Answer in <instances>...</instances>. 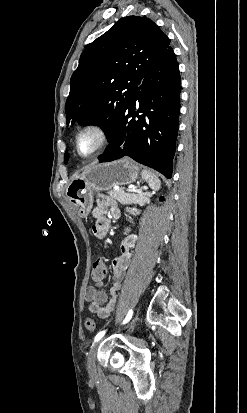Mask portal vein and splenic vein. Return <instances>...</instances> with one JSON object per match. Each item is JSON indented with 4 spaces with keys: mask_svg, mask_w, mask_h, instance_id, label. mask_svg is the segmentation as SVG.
<instances>
[{
    "mask_svg": "<svg viewBox=\"0 0 247 413\" xmlns=\"http://www.w3.org/2000/svg\"><path fill=\"white\" fill-rule=\"evenodd\" d=\"M128 190H134V192H142V188H128Z\"/></svg>",
    "mask_w": 247,
    "mask_h": 413,
    "instance_id": "obj_1",
    "label": "portal vein and splenic vein"
}]
</instances>
